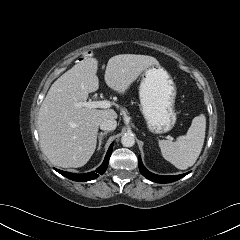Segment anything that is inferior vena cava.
Returning a JSON list of instances; mask_svg holds the SVG:
<instances>
[{
	"label": "inferior vena cava",
	"instance_id": "602c4592",
	"mask_svg": "<svg viewBox=\"0 0 240 240\" xmlns=\"http://www.w3.org/2000/svg\"><path fill=\"white\" fill-rule=\"evenodd\" d=\"M117 126V122L114 119H105L100 123V129L105 131H113Z\"/></svg>",
	"mask_w": 240,
	"mask_h": 240
}]
</instances>
